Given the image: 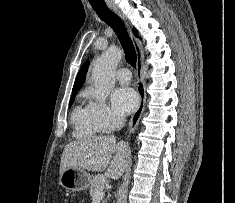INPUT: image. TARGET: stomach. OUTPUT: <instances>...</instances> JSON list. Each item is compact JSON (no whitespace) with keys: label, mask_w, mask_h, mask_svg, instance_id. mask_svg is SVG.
Here are the masks:
<instances>
[{"label":"stomach","mask_w":235,"mask_h":203,"mask_svg":"<svg viewBox=\"0 0 235 203\" xmlns=\"http://www.w3.org/2000/svg\"><path fill=\"white\" fill-rule=\"evenodd\" d=\"M92 176L81 168H69L60 174L59 184L68 191H83L89 188Z\"/></svg>","instance_id":"1"}]
</instances>
